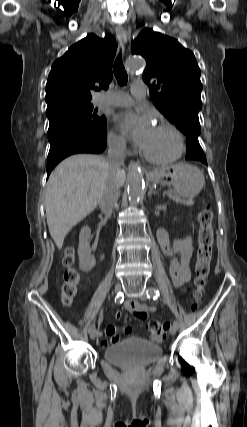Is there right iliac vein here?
Returning <instances> with one entry per match:
<instances>
[{
	"label": "right iliac vein",
	"mask_w": 247,
	"mask_h": 427,
	"mask_svg": "<svg viewBox=\"0 0 247 427\" xmlns=\"http://www.w3.org/2000/svg\"><path fill=\"white\" fill-rule=\"evenodd\" d=\"M121 288H122V286H121V284L118 282V283L115 285V288H114L115 293H119V292L121 291ZM89 334H90V338H91L92 340H94V339L97 337V335H98V330H97L96 328H94V329H92L91 331H89Z\"/></svg>",
	"instance_id": "63e3f726"
}]
</instances>
